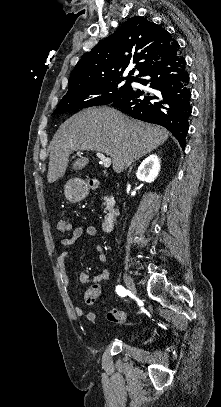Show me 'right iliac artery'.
I'll return each instance as SVG.
<instances>
[{
	"instance_id": "82829eb1",
	"label": "right iliac artery",
	"mask_w": 221,
	"mask_h": 407,
	"mask_svg": "<svg viewBox=\"0 0 221 407\" xmlns=\"http://www.w3.org/2000/svg\"><path fill=\"white\" fill-rule=\"evenodd\" d=\"M116 292L121 297H125L128 294V290H126L123 286L120 285L116 287Z\"/></svg>"
}]
</instances>
